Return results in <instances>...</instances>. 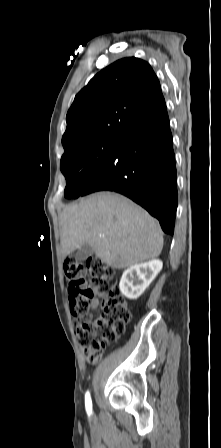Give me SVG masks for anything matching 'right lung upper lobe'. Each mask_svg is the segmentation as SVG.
I'll list each match as a JSON object with an SVG mask.
<instances>
[{"label": "right lung upper lobe", "mask_w": 221, "mask_h": 448, "mask_svg": "<svg viewBox=\"0 0 221 448\" xmlns=\"http://www.w3.org/2000/svg\"><path fill=\"white\" fill-rule=\"evenodd\" d=\"M164 103L160 82L146 61L129 57L114 62L76 95L66 116L64 154L87 142L119 137Z\"/></svg>", "instance_id": "obj_1"}]
</instances>
